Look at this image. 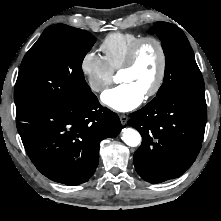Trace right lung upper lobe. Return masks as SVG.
<instances>
[{
  "label": "right lung upper lobe",
  "instance_id": "right-lung-upper-lobe-1",
  "mask_svg": "<svg viewBox=\"0 0 221 221\" xmlns=\"http://www.w3.org/2000/svg\"><path fill=\"white\" fill-rule=\"evenodd\" d=\"M61 26H67V25H64V24H56V25L50 26V28L61 27Z\"/></svg>",
  "mask_w": 221,
  "mask_h": 221
}]
</instances>
